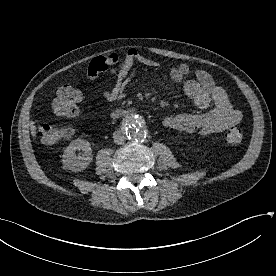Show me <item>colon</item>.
Instances as JSON below:
<instances>
[{"instance_id":"obj_1","label":"colon","mask_w":276,"mask_h":276,"mask_svg":"<svg viewBox=\"0 0 276 276\" xmlns=\"http://www.w3.org/2000/svg\"><path fill=\"white\" fill-rule=\"evenodd\" d=\"M82 99L81 92L73 86L64 85L57 91L52 107L54 112L61 117H75L80 113L79 103ZM42 140L45 144H55L71 134L69 128H58L48 124L39 126ZM225 141L231 146H239L243 142V134L237 127L228 129L224 135Z\"/></svg>"}]
</instances>
